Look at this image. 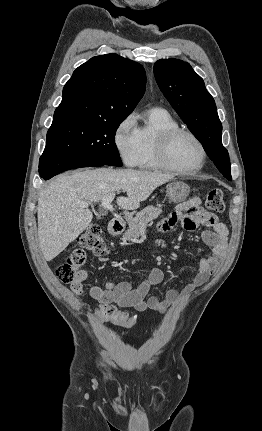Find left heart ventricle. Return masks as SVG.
I'll return each mask as SVG.
<instances>
[{
    "instance_id": "1",
    "label": "left heart ventricle",
    "mask_w": 262,
    "mask_h": 431,
    "mask_svg": "<svg viewBox=\"0 0 262 431\" xmlns=\"http://www.w3.org/2000/svg\"><path fill=\"white\" fill-rule=\"evenodd\" d=\"M172 162L187 171L195 169L201 160V152L196 142L187 135H179L171 143Z\"/></svg>"
}]
</instances>
